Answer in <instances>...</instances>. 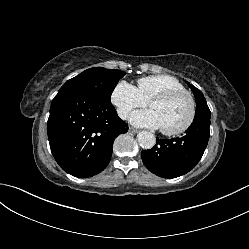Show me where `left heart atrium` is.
Wrapping results in <instances>:
<instances>
[{"label": "left heart atrium", "instance_id": "left-heart-atrium-1", "mask_svg": "<svg viewBox=\"0 0 249 249\" xmlns=\"http://www.w3.org/2000/svg\"><path fill=\"white\" fill-rule=\"evenodd\" d=\"M130 121L132 124L141 127H149V128L161 127V123L158 116L152 110L134 112L130 117Z\"/></svg>", "mask_w": 249, "mask_h": 249}]
</instances>
